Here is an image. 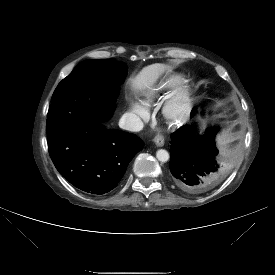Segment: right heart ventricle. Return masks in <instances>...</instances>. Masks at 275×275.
<instances>
[{
	"label": "right heart ventricle",
	"instance_id": "right-heart-ventricle-1",
	"mask_svg": "<svg viewBox=\"0 0 275 275\" xmlns=\"http://www.w3.org/2000/svg\"><path fill=\"white\" fill-rule=\"evenodd\" d=\"M178 78L177 74L171 73L159 79L141 93L139 97L140 105L145 109L154 106L174 86Z\"/></svg>",
	"mask_w": 275,
	"mask_h": 275
}]
</instances>
